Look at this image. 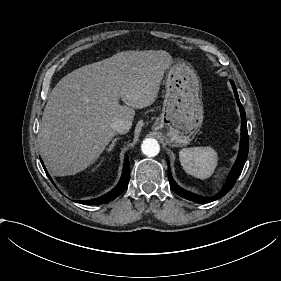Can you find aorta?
Returning <instances> with one entry per match:
<instances>
[{
	"mask_svg": "<svg viewBox=\"0 0 281 281\" xmlns=\"http://www.w3.org/2000/svg\"><path fill=\"white\" fill-rule=\"evenodd\" d=\"M142 152L148 157L156 156L160 151V145L156 139H145L141 145Z\"/></svg>",
	"mask_w": 281,
	"mask_h": 281,
	"instance_id": "1",
	"label": "aorta"
}]
</instances>
